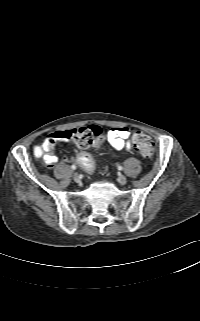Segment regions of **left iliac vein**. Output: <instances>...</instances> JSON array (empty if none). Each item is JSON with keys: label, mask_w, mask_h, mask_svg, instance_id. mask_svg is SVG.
<instances>
[{"label": "left iliac vein", "mask_w": 200, "mask_h": 321, "mask_svg": "<svg viewBox=\"0 0 200 321\" xmlns=\"http://www.w3.org/2000/svg\"><path fill=\"white\" fill-rule=\"evenodd\" d=\"M117 180L121 185H124L127 182V178L124 175H120Z\"/></svg>", "instance_id": "left-iliac-vein-1"}]
</instances>
